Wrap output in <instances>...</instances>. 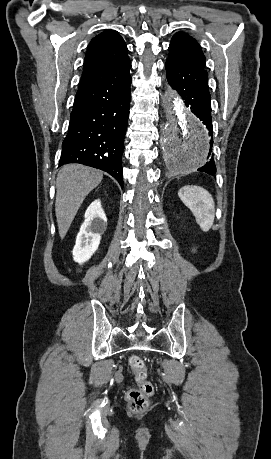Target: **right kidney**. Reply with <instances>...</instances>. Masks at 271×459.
I'll use <instances>...</instances> for the list:
<instances>
[{"label":"right kidney","mask_w":271,"mask_h":459,"mask_svg":"<svg viewBox=\"0 0 271 459\" xmlns=\"http://www.w3.org/2000/svg\"><path fill=\"white\" fill-rule=\"evenodd\" d=\"M107 228V218L100 200L90 204L85 212V220L77 233L76 243L73 247V259L78 263H84L90 259L96 251L102 233Z\"/></svg>","instance_id":"right-kidney-1"}]
</instances>
